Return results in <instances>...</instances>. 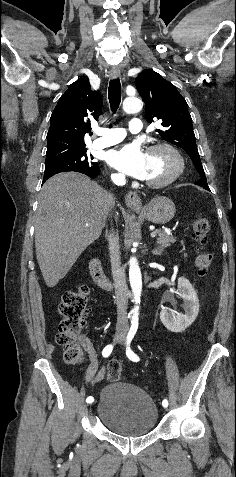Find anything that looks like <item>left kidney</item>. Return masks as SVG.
I'll return each mask as SVG.
<instances>
[{"instance_id":"obj_1","label":"left kidney","mask_w":236,"mask_h":477,"mask_svg":"<svg viewBox=\"0 0 236 477\" xmlns=\"http://www.w3.org/2000/svg\"><path fill=\"white\" fill-rule=\"evenodd\" d=\"M178 291L185 302V313L175 316L165 309L160 312L161 322L169 331L174 333H180L189 327L195 321L199 312L197 293L188 279L184 277L178 279Z\"/></svg>"}]
</instances>
